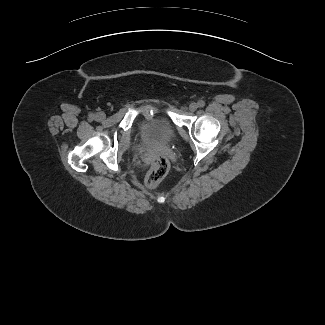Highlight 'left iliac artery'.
I'll use <instances>...</instances> for the list:
<instances>
[{"instance_id":"1","label":"left iliac artery","mask_w":325,"mask_h":325,"mask_svg":"<svg viewBox=\"0 0 325 325\" xmlns=\"http://www.w3.org/2000/svg\"><path fill=\"white\" fill-rule=\"evenodd\" d=\"M197 104H198L199 107H204L205 106V101L199 100Z\"/></svg>"}]
</instances>
